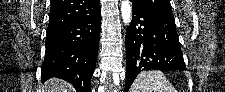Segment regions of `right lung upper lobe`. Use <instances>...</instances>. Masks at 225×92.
Segmentation results:
<instances>
[{"instance_id":"1","label":"right lung upper lobe","mask_w":225,"mask_h":92,"mask_svg":"<svg viewBox=\"0 0 225 92\" xmlns=\"http://www.w3.org/2000/svg\"><path fill=\"white\" fill-rule=\"evenodd\" d=\"M100 12L99 0H52L49 29H56Z\"/></svg>"}]
</instances>
